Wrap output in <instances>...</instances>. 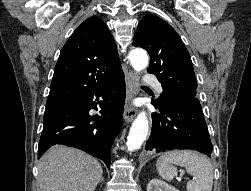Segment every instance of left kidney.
<instances>
[{
	"label": "left kidney",
	"instance_id": "5707ae66",
	"mask_svg": "<svg viewBox=\"0 0 251 191\" xmlns=\"http://www.w3.org/2000/svg\"><path fill=\"white\" fill-rule=\"evenodd\" d=\"M147 191H179L173 185H168L166 181L162 179H150L147 185Z\"/></svg>",
	"mask_w": 251,
	"mask_h": 191
}]
</instances>
